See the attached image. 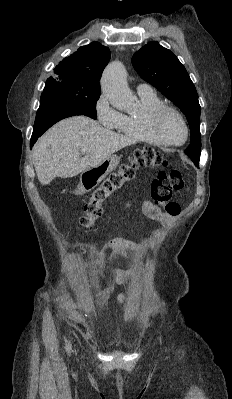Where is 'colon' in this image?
<instances>
[{"label":"colon","instance_id":"obj_1","mask_svg":"<svg viewBox=\"0 0 232 399\" xmlns=\"http://www.w3.org/2000/svg\"><path fill=\"white\" fill-rule=\"evenodd\" d=\"M164 164L162 153L149 145H144L140 150H135L130 158L125 162L122 171L111 174L103 180V185H96L91 191L82 209V215L76 219V224L80 228L95 227L96 218L104 214V209L99 204L104 198L109 197L120 185H128L129 180L136 176L144 166L161 168ZM154 185L151 186L152 194H174L181 191L186 194L185 185L187 180H183V175H154ZM153 203H163L162 211L169 214V218H175V214H181V203H167V198H153Z\"/></svg>","mask_w":232,"mask_h":399}]
</instances>
